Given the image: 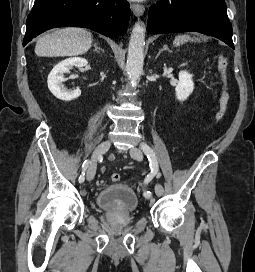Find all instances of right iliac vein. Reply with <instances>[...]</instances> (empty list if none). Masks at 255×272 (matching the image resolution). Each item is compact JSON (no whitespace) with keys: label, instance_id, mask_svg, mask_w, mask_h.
<instances>
[{"label":"right iliac vein","instance_id":"63e3f726","mask_svg":"<svg viewBox=\"0 0 255 272\" xmlns=\"http://www.w3.org/2000/svg\"><path fill=\"white\" fill-rule=\"evenodd\" d=\"M110 145H111L110 141L107 140V141H103L102 143H100L96 147V149L92 155L91 164H90L88 171H87V180L88 181H91L94 178L95 173H96L97 160L99 159V157H101L103 154H105L109 150Z\"/></svg>","mask_w":255,"mask_h":272}]
</instances>
